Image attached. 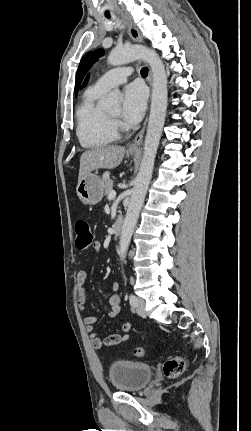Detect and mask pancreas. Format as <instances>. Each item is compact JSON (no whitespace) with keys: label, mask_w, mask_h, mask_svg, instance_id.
Listing matches in <instances>:
<instances>
[{"label":"pancreas","mask_w":251,"mask_h":431,"mask_svg":"<svg viewBox=\"0 0 251 431\" xmlns=\"http://www.w3.org/2000/svg\"><path fill=\"white\" fill-rule=\"evenodd\" d=\"M103 181H104L105 195L108 196L109 193L112 191L113 181L109 178L108 173L104 174Z\"/></svg>","instance_id":"cf45deb5"}]
</instances>
